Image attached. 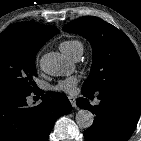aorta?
I'll return each instance as SVG.
<instances>
[{
  "instance_id": "1",
  "label": "aorta",
  "mask_w": 141,
  "mask_h": 141,
  "mask_svg": "<svg viewBox=\"0 0 141 141\" xmlns=\"http://www.w3.org/2000/svg\"><path fill=\"white\" fill-rule=\"evenodd\" d=\"M41 69L51 76L68 75L72 71V66L60 54L49 52L42 56L40 60ZM76 123L80 128H89L94 121L91 111L80 109L75 117Z\"/></svg>"
}]
</instances>
